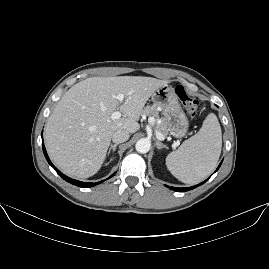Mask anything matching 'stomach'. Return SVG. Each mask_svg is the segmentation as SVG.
<instances>
[{
	"mask_svg": "<svg viewBox=\"0 0 269 269\" xmlns=\"http://www.w3.org/2000/svg\"><path fill=\"white\" fill-rule=\"evenodd\" d=\"M152 100L162 108V116L172 136L185 137L189 129V119L173 89L168 85L161 87L153 94Z\"/></svg>",
	"mask_w": 269,
	"mask_h": 269,
	"instance_id": "1",
	"label": "stomach"
}]
</instances>
